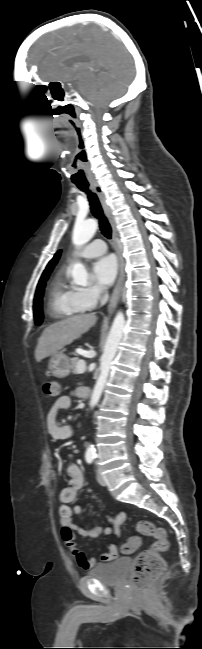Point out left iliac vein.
<instances>
[{"instance_id": "1", "label": "left iliac vein", "mask_w": 202, "mask_h": 649, "mask_svg": "<svg viewBox=\"0 0 202 649\" xmlns=\"http://www.w3.org/2000/svg\"><path fill=\"white\" fill-rule=\"evenodd\" d=\"M97 481L101 486L106 485V481H105L104 477L101 475L99 470H97Z\"/></svg>"}]
</instances>
